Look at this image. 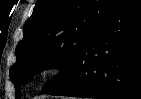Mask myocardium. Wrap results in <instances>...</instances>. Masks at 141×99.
<instances>
[{"mask_svg": "<svg viewBox=\"0 0 141 99\" xmlns=\"http://www.w3.org/2000/svg\"><path fill=\"white\" fill-rule=\"evenodd\" d=\"M60 70V64L54 60L45 61L37 71L39 79H46L56 74Z\"/></svg>", "mask_w": 141, "mask_h": 99, "instance_id": "obj_1", "label": "myocardium"}]
</instances>
